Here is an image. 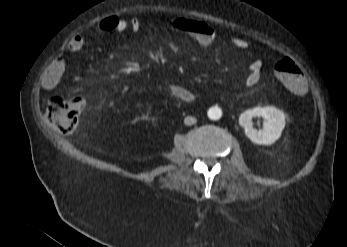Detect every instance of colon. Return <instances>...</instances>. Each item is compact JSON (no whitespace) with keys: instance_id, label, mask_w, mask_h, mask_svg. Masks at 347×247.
<instances>
[{"instance_id":"colon-1","label":"colon","mask_w":347,"mask_h":247,"mask_svg":"<svg viewBox=\"0 0 347 247\" xmlns=\"http://www.w3.org/2000/svg\"><path fill=\"white\" fill-rule=\"evenodd\" d=\"M275 77L289 90L296 94H304L306 82L300 67L290 58H284L273 66ZM84 108L81 98L63 99L55 96L46 105L49 122L61 133L73 132L80 120Z\"/></svg>"}]
</instances>
